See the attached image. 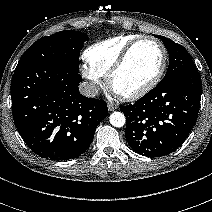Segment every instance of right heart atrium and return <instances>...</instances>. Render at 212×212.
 I'll return each instance as SVG.
<instances>
[{"label": "right heart atrium", "mask_w": 212, "mask_h": 212, "mask_svg": "<svg viewBox=\"0 0 212 212\" xmlns=\"http://www.w3.org/2000/svg\"><path fill=\"white\" fill-rule=\"evenodd\" d=\"M80 71L83 78L87 81L89 92L93 93L96 86L101 83L103 75L93 69L87 63L81 65Z\"/></svg>", "instance_id": "1"}]
</instances>
